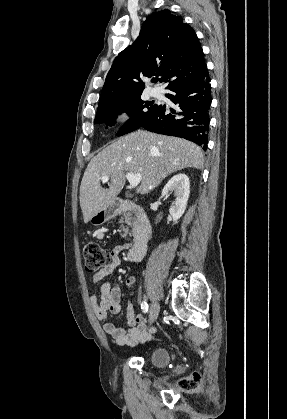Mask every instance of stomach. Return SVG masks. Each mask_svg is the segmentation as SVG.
Wrapping results in <instances>:
<instances>
[{
	"instance_id": "1",
	"label": "stomach",
	"mask_w": 287,
	"mask_h": 419,
	"mask_svg": "<svg viewBox=\"0 0 287 419\" xmlns=\"http://www.w3.org/2000/svg\"><path fill=\"white\" fill-rule=\"evenodd\" d=\"M114 215H115V208L110 203L104 209L94 214L92 218L90 219V223L93 225H100V224H103L104 222H107L111 218H113Z\"/></svg>"
}]
</instances>
